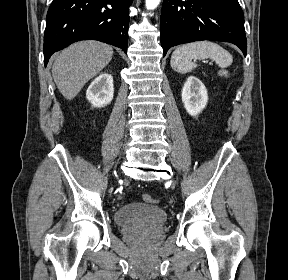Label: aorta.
Returning <instances> with one entry per match:
<instances>
[{"instance_id":"obj_1","label":"aorta","mask_w":288,"mask_h":280,"mask_svg":"<svg viewBox=\"0 0 288 280\" xmlns=\"http://www.w3.org/2000/svg\"><path fill=\"white\" fill-rule=\"evenodd\" d=\"M161 0H145V5L148 10H154Z\"/></svg>"}]
</instances>
